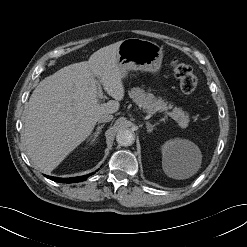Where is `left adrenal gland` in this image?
Wrapping results in <instances>:
<instances>
[{
  "mask_svg": "<svg viewBox=\"0 0 247 247\" xmlns=\"http://www.w3.org/2000/svg\"><path fill=\"white\" fill-rule=\"evenodd\" d=\"M156 125L157 124L152 125L149 122H146L147 132H152Z\"/></svg>",
  "mask_w": 247,
  "mask_h": 247,
  "instance_id": "left-adrenal-gland-1",
  "label": "left adrenal gland"
}]
</instances>
